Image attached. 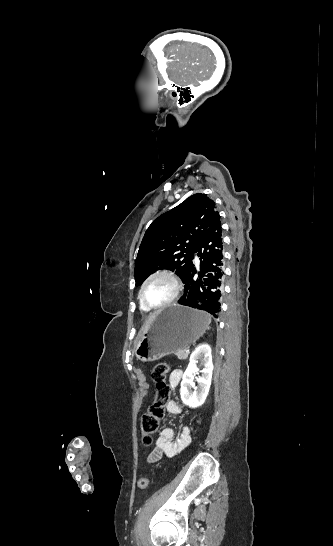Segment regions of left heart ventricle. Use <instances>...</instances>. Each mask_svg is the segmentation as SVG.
Wrapping results in <instances>:
<instances>
[{"mask_svg":"<svg viewBox=\"0 0 333 546\" xmlns=\"http://www.w3.org/2000/svg\"><path fill=\"white\" fill-rule=\"evenodd\" d=\"M174 293L173 283L166 277H156L151 280L144 290V297L151 305H160L167 301Z\"/></svg>","mask_w":333,"mask_h":546,"instance_id":"b2bd125f","label":"left heart ventricle"}]
</instances>
